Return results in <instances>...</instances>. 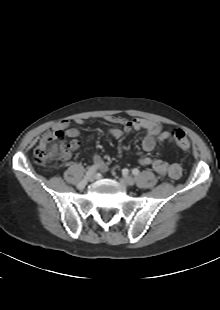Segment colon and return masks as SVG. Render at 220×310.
Listing matches in <instances>:
<instances>
[{
  "label": "colon",
  "instance_id": "colon-1",
  "mask_svg": "<svg viewBox=\"0 0 220 310\" xmlns=\"http://www.w3.org/2000/svg\"><path fill=\"white\" fill-rule=\"evenodd\" d=\"M171 134L176 145L182 151L188 152L190 150V140L182 129H174ZM67 154L68 146L64 140V132L59 129H51L42 136L35 148L34 160L38 164H47L63 158Z\"/></svg>",
  "mask_w": 220,
  "mask_h": 310
}]
</instances>
